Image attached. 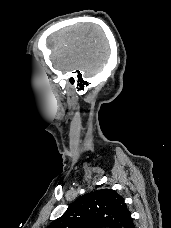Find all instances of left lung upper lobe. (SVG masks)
<instances>
[{
    "label": "left lung upper lobe",
    "instance_id": "1",
    "mask_svg": "<svg viewBox=\"0 0 171 228\" xmlns=\"http://www.w3.org/2000/svg\"><path fill=\"white\" fill-rule=\"evenodd\" d=\"M130 218L123 197L115 190L101 189L77 199L48 228H124Z\"/></svg>",
    "mask_w": 171,
    "mask_h": 228
}]
</instances>
